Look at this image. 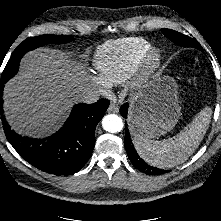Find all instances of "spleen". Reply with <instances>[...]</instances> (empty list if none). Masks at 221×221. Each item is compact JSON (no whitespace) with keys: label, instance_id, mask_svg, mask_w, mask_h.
<instances>
[{"label":"spleen","instance_id":"3e777b00","mask_svg":"<svg viewBox=\"0 0 221 221\" xmlns=\"http://www.w3.org/2000/svg\"><path fill=\"white\" fill-rule=\"evenodd\" d=\"M211 115V108L205 107L179 134L162 141L135 137V148L141 158L154 167L165 169L179 165L198 148L208 130Z\"/></svg>","mask_w":221,"mask_h":221}]
</instances>
